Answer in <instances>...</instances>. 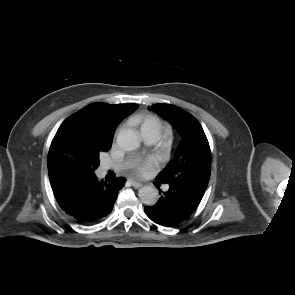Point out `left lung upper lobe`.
Wrapping results in <instances>:
<instances>
[{"mask_svg":"<svg viewBox=\"0 0 295 295\" xmlns=\"http://www.w3.org/2000/svg\"><path fill=\"white\" fill-rule=\"evenodd\" d=\"M153 110L170 118L180 135L173 158L157 180L205 191L210 179L211 152L200 123L191 114L174 105L156 104Z\"/></svg>","mask_w":295,"mask_h":295,"instance_id":"5c2ea615","label":"left lung upper lobe"}]
</instances>
